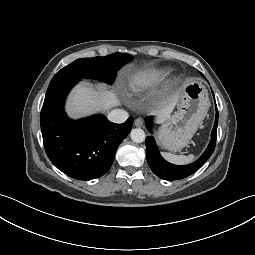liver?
<instances>
[{"instance_id":"6515ba94","label":"liver","mask_w":255,"mask_h":255,"mask_svg":"<svg viewBox=\"0 0 255 255\" xmlns=\"http://www.w3.org/2000/svg\"><path fill=\"white\" fill-rule=\"evenodd\" d=\"M179 96L180 92L167 105L153 112L157 116V122L162 123L170 116ZM118 104L119 99L113 91L102 88L96 90L88 84H80L72 91L69 97L67 112L73 117H81L98 110H109Z\"/></svg>"}]
</instances>
